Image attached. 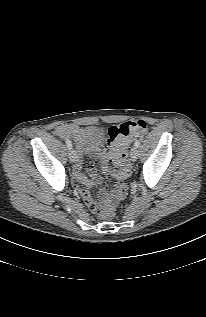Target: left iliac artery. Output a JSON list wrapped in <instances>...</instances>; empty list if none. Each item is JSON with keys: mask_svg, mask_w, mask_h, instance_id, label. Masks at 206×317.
<instances>
[{"mask_svg": "<svg viewBox=\"0 0 206 317\" xmlns=\"http://www.w3.org/2000/svg\"><path fill=\"white\" fill-rule=\"evenodd\" d=\"M134 146H135V147H139V146H140V141H139V140H136L135 143H134Z\"/></svg>", "mask_w": 206, "mask_h": 317, "instance_id": "44dca946", "label": "left iliac artery"}]
</instances>
